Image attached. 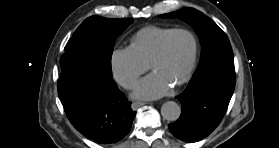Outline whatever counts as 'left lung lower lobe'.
Returning a JSON list of instances; mask_svg holds the SVG:
<instances>
[{
    "label": "left lung lower lobe",
    "instance_id": "obj_1",
    "mask_svg": "<svg viewBox=\"0 0 279 148\" xmlns=\"http://www.w3.org/2000/svg\"><path fill=\"white\" fill-rule=\"evenodd\" d=\"M234 88V61L217 62L195 74L176 97L181 103V115L168 125L170 132L185 142L208 136L221 122Z\"/></svg>",
    "mask_w": 279,
    "mask_h": 148
}]
</instances>
